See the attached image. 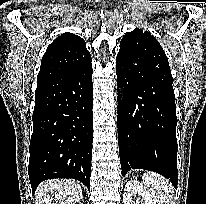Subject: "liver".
I'll return each mask as SVG.
<instances>
[{"label":"liver","instance_id":"1","mask_svg":"<svg viewBox=\"0 0 206 204\" xmlns=\"http://www.w3.org/2000/svg\"><path fill=\"white\" fill-rule=\"evenodd\" d=\"M36 196V204H76L82 198V188L75 180L52 179L39 185Z\"/></svg>","mask_w":206,"mask_h":204}]
</instances>
